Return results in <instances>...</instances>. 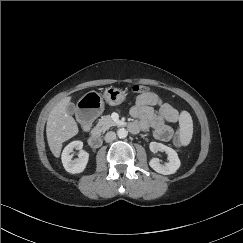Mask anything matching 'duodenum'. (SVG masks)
Segmentation results:
<instances>
[{
    "label": "duodenum",
    "instance_id": "duodenum-1",
    "mask_svg": "<svg viewBox=\"0 0 243 243\" xmlns=\"http://www.w3.org/2000/svg\"><path fill=\"white\" fill-rule=\"evenodd\" d=\"M89 144L93 148H97L102 144V138L98 132H93L89 137Z\"/></svg>",
    "mask_w": 243,
    "mask_h": 243
}]
</instances>
